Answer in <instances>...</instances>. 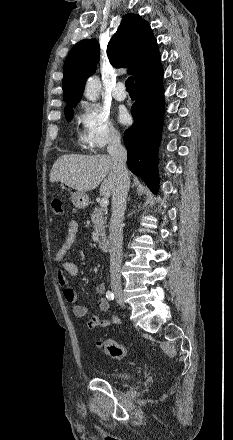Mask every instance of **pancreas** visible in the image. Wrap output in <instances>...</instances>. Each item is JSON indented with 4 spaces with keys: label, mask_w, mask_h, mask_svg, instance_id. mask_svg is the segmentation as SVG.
<instances>
[{
    "label": "pancreas",
    "mask_w": 233,
    "mask_h": 440,
    "mask_svg": "<svg viewBox=\"0 0 233 440\" xmlns=\"http://www.w3.org/2000/svg\"><path fill=\"white\" fill-rule=\"evenodd\" d=\"M91 215V221L93 223L94 231L92 233V239L95 242H100L106 237L105 228L107 227V216L103 208L96 207Z\"/></svg>",
    "instance_id": "pancreas-1"
}]
</instances>
